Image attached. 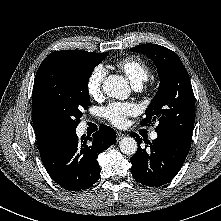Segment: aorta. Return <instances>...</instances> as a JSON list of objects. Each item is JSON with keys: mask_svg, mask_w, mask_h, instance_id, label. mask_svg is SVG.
<instances>
[{"mask_svg": "<svg viewBox=\"0 0 221 221\" xmlns=\"http://www.w3.org/2000/svg\"><path fill=\"white\" fill-rule=\"evenodd\" d=\"M103 91L106 95L120 100L127 99L130 95V87L123 76L109 75L103 82ZM119 148L126 155H134L138 145L134 138L124 137L119 142Z\"/></svg>", "mask_w": 221, "mask_h": 221, "instance_id": "aorta-1", "label": "aorta"}]
</instances>
